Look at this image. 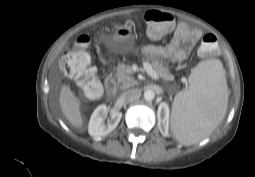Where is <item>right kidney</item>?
Instances as JSON below:
<instances>
[{"instance_id": "ca27d5eb", "label": "right kidney", "mask_w": 255, "mask_h": 177, "mask_svg": "<svg viewBox=\"0 0 255 177\" xmlns=\"http://www.w3.org/2000/svg\"><path fill=\"white\" fill-rule=\"evenodd\" d=\"M107 113V106L105 104L99 105L94 110L88 125V133L90 136L100 138L102 136H106L117 127L122 118V113L118 111L111 112L110 119L107 124H105L104 120Z\"/></svg>"}]
</instances>
